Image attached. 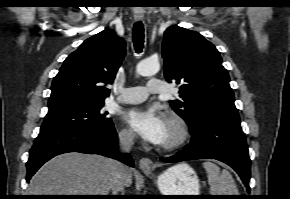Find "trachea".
Returning <instances> with one entry per match:
<instances>
[{"label": "trachea", "instance_id": "obj_1", "mask_svg": "<svg viewBox=\"0 0 290 199\" xmlns=\"http://www.w3.org/2000/svg\"><path fill=\"white\" fill-rule=\"evenodd\" d=\"M133 43L137 53H141L144 44V28L142 22H136L133 27Z\"/></svg>", "mask_w": 290, "mask_h": 199}]
</instances>
